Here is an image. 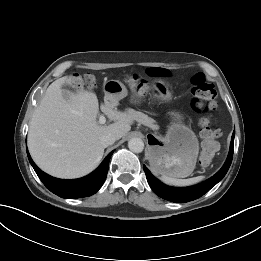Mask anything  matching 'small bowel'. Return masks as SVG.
Here are the masks:
<instances>
[{"label": "small bowel", "instance_id": "1", "mask_svg": "<svg viewBox=\"0 0 261 261\" xmlns=\"http://www.w3.org/2000/svg\"><path fill=\"white\" fill-rule=\"evenodd\" d=\"M149 74L155 77H165L168 76V71L163 68H153L149 70Z\"/></svg>", "mask_w": 261, "mask_h": 261}]
</instances>
